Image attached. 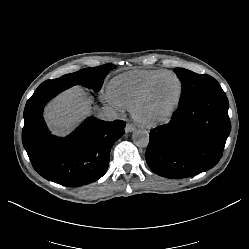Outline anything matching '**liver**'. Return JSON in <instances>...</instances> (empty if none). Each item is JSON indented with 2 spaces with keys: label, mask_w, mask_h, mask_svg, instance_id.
<instances>
[{
  "label": "liver",
  "mask_w": 249,
  "mask_h": 249,
  "mask_svg": "<svg viewBox=\"0 0 249 249\" xmlns=\"http://www.w3.org/2000/svg\"><path fill=\"white\" fill-rule=\"evenodd\" d=\"M92 103L80 86H74L45 107L44 118L53 134L65 136L91 113Z\"/></svg>",
  "instance_id": "liver-1"
}]
</instances>
